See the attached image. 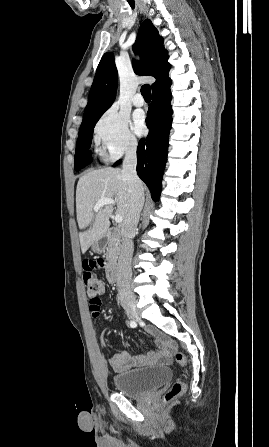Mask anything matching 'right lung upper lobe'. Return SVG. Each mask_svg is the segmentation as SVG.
<instances>
[{
  "label": "right lung upper lobe",
  "instance_id": "1",
  "mask_svg": "<svg viewBox=\"0 0 269 447\" xmlns=\"http://www.w3.org/2000/svg\"><path fill=\"white\" fill-rule=\"evenodd\" d=\"M133 51L142 57L141 62L133 60L136 74L151 75L156 80L168 74L171 67L167 62L168 53L163 47V38L150 20L147 19L141 24ZM117 80L114 55L105 53L98 65L80 128L97 121L112 105L116 96Z\"/></svg>",
  "mask_w": 269,
  "mask_h": 447
}]
</instances>
